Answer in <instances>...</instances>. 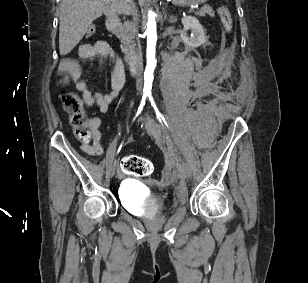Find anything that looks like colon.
<instances>
[{
    "label": "colon",
    "mask_w": 308,
    "mask_h": 283,
    "mask_svg": "<svg viewBox=\"0 0 308 283\" xmlns=\"http://www.w3.org/2000/svg\"><path fill=\"white\" fill-rule=\"evenodd\" d=\"M220 20L224 29L230 32L233 20L230 12L224 6L218 9ZM95 33V27L90 26L86 32L88 37ZM60 100L65 111L69 114L70 124L75 137L81 141H89L93 137L91 123L85 113L83 102L74 92H64L60 95ZM121 168L124 173L132 176H147L153 172L152 162L144 157L128 155L123 158Z\"/></svg>",
    "instance_id": "colon-1"
}]
</instances>
